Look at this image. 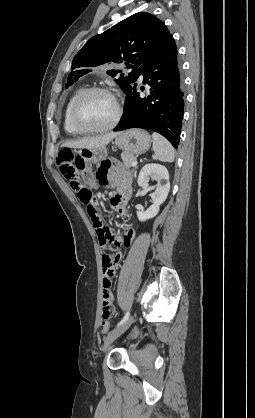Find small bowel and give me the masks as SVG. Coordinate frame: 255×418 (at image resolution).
I'll use <instances>...</instances> for the list:
<instances>
[{"label": "small bowel", "instance_id": "c3829d8e", "mask_svg": "<svg viewBox=\"0 0 255 418\" xmlns=\"http://www.w3.org/2000/svg\"><path fill=\"white\" fill-rule=\"evenodd\" d=\"M97 180L102 184L116 187V193L110 200L111 205L120 216H127V201L131 196L129 175L121 172L115 164L104 162L97 172ZM97 235L103 267V296L99 311L102 320H113L115 314L111 291L112 279L116 273L119 257L128 254L126 247H129L134 240V232L130 227L124 228L120 233H114L109 227H98ZM109 242L116 247H109Z\"/></svg>", "mask_w": 255, "mask_h": 418}]
</instances>
